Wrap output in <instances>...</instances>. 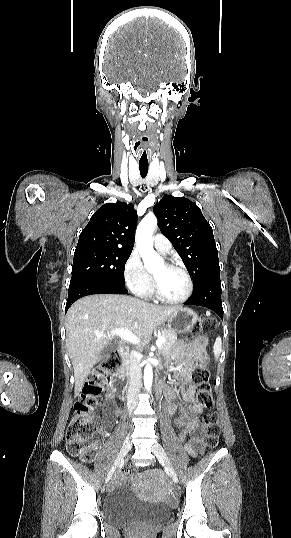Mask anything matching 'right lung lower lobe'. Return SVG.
Instances as JSON below:
<instances>
[{
    "label": "right lung lower lobe",
    "instance_id": "right-lung-lower-lobe-1",
    "mask_svg": "<svg viewBox=\"0 0 291 538\" xmlns=\"http://www.w3.org/2000/svg\"><path fill=\"white\" fill-rule=\"evenodd\" d=\"M128 291L125 287L103 284L95 282L77 283L69 286L68 299L65 310L79 298L92 294H126Z\"/></svg>",
    "mask_w": 291,
    "mask_h": 538
}]
</instances>
